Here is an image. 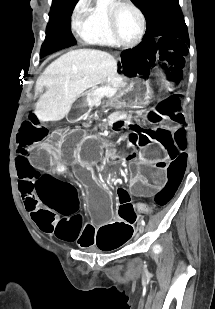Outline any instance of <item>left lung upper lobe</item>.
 Here are the masks:
<instances>
[{"label": "left lung upper lobe", "instance_id": "5c2ea615", "mask_svg": "<svg viewBox=\"0 0 215 309\" xmlns=\"http://www.w3.org/2000/svg\"><path fill=\"white\" fill-rule=\"evenodd\" d=\"M141 8L147 22L144 40L178 38L189 43L187 26L178 0H133Z\"/></svg>", "mask_w": 215, "mask_h": 309}]
</instances>
